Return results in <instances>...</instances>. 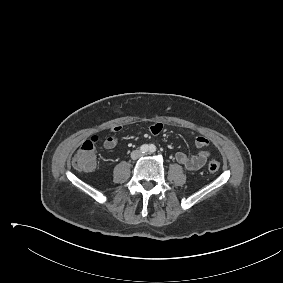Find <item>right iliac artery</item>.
Listing matches in <instances>:
<instances>
[{
  "label": "right iliac artery",
  "mask_w": 283,
  "mask_h": 283,
  "mask_svg": "<svg viewBox=\"0 0 283 283\" xmlns=\"http://www.w3.org/2000/svg\"><path fill=\"white\" fill-rule=\"evenodd\" d=\"M140 151H141L142 153L148 152V151H149V146L146 145V144L142 145V146L140 147Z\"/></svg>",
  "instance_id": "right-iliac-artery-1"
}]
</instances>
